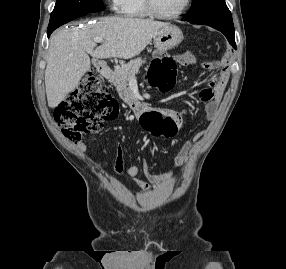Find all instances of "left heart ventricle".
Returning <instances> with one entry per match:
<instances>
[{"mask_svg":"<svg viewBox=\"0 0 286 269\" xmlns=\"http://www.w3.org/2000/svg\"><path fill=\"white\" fill-rule=\"evenodd\" d=\"M156 9L162 14H172L178 11L185 0H153Z\"/></svg>","mask_w":286,"mask_h":269,"instance_id":"obj_1","label":"left heart ventricle"}]
</instances>
